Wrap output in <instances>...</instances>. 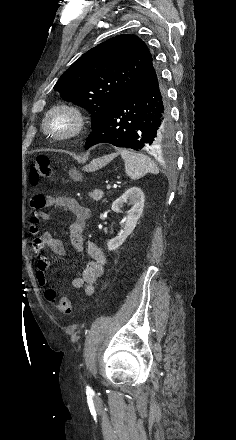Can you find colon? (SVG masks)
<instances>
[{
    "mask_svg": "<svg viewBox=\"0 0 236 440\" xmlns=\"http://www.w3.org/2000/svg\"><path fill=\"white\" fill-rule=\"evenodd\" d=\"M51 174L50 160L45 155L37 156L31 164L30 168V182L33 186H38L43 184ZM45 298L52 304L59 313L63 315L71 314V303L66 297H56V292L52 288L45 290Z\"/></svg>",
    "mask_w": 236,
    "mask_h": 440,
    "instance_id": "5ec220e1",
    "label": "colon"
}]
</instances>
